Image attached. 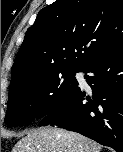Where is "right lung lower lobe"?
Instances as JSON below:
<instances>
[{"label": "right lung lower lobe", "instance_id": "right-lung-lower-lobe-1", "mask_svg": "<svg viewBox=\"0 0 123 152\" xmlns=\"http://www.w3.org/2000/svg\"><path fill=\"white\" fill-rule=\"evenodd\" d=\"M81 72L92 89L78 87L39 126L55 124L123 152V41L101 52Z\"/></svg>", "mask_w": 123, "mask_h": 152}]
</instances>
